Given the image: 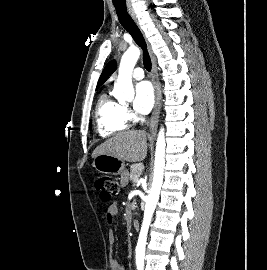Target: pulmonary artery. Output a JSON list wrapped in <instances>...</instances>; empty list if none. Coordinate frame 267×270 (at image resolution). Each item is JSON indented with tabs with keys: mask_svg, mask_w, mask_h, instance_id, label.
I'll list each match as a JSON object with an SVG mask.
<instances>
[{
	"mask_svg": "<svg viewBox=\"0 0 267 270\" xmlns=\"http://www.w3.org/2000/svg\"><path fill=\"white\" fill-rule=\"evenodd\" d=\"M133 77L135 79H138V80L139 79H142L144 77V71H143V69L141 67L135 68L134 71H133Z\"/></svg>",
	"mask_w": 267,
	"mask_h": 270,
	"instance_id": "e3ab8cb5",
	"label": "pulmonary artery"
}]
</instances>
